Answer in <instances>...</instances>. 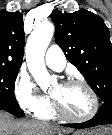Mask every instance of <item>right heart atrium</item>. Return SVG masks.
<instances>
[{"instance_id": "right-heart-atrium-1", "label": "right heart atrium", "mask_w": 112, "mask_h": 135, "mask_svg": "<svg viewBox=\"0 0 112 135\" xmlns=\"http://www.w3.org/2000/svg\"><path fill=\"white\" fill-rule=\"evenodd\" d=\"M14 95L20 107L31 113H37L49 105V98L23 72L15 79Z\"/></svg>"}]
</instances>
